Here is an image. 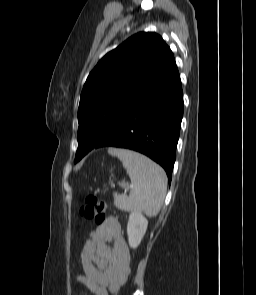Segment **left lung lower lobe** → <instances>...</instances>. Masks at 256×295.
<instances>
[{
    "label": "left lung lower lobe",
    "instance_id": "1",
    "mask_svg": "<svg viewBox=\"0 0 256 295\" xmlns=\"http://www.w3.org/2000/svg\"><path fill=\"white\" fill-rule=\"evenodd\" d=\"M182 117L183 93L177 70L94 148L113 146L145 154L165 169L170 183Z\"/></svg>",
    "mask_w": 256,
    "mask_h": 295
}]
</instances>
